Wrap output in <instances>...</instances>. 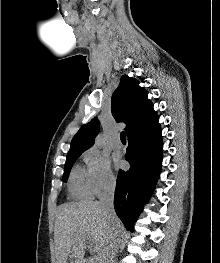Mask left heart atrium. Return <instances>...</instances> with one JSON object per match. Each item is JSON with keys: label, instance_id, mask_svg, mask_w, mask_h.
I'll use <instances>...</instances> for the list:
<instances>
[{"label": "left heart atrium", "instance_id": "obj_1", "mask_svg": "<svg viewBox=\"0 0 220 263\" xmlns=\"http://www.w3.org/2000/svg\"><path fill=\"white\" fill-rule=\"evenodd\" d=\"M115 165L117 168H122L124 166V162L120 157H115Z\"/></svg>", "mask_w": 220, "mask_h": 263}]
</instances>
